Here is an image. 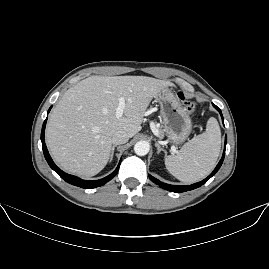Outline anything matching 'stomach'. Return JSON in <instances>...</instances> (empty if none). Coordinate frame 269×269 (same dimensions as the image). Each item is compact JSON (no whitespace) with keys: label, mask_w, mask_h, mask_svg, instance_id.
<instances>
[{"label":"stomach","mask_w":269,"mask_h":269,"mask_svg":"<svg viewBox=\"0 0 269 269\" xmlns=\"http://www.w3.org/2000/svg\"><path fill=\"white\" fill-rule=\"evenodd\" d=\"M155 101L160 105L164 130L169 140L176 145L183 143L191 133L192 123L179 98L166 87L155 95Z\"/></svg>","instance_id":"obj_1"}]
</instances>
